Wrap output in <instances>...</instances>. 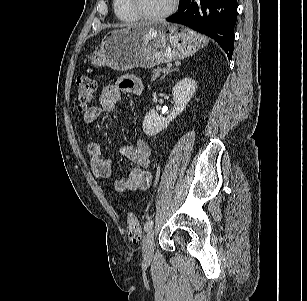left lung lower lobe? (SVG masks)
Returning <instances> with one entry per match:
<instances>
[{"instance_id": "1", "label": "left lung lower lobe", "mask_w": 307, "mask_h": 301, "mask_svg": "<svg viewBox=\"0 0 307 301\" xmlns=\"http://www.w3.org/2000/svg\"><path fill=\"white\" fill-rule=\"evenodd\" d=\"M237 0H180V9L167 21L186 25L222 47L231 60Z\"/></svg>"}]
</instances>
